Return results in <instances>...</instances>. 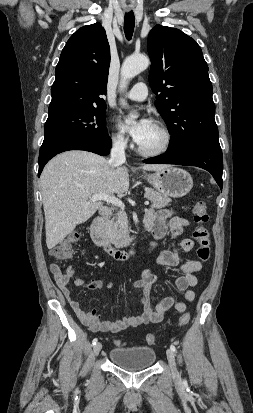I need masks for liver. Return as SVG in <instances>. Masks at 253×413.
Segmentation results:
<instances>
[{
    "label": "liver",
    "instance_id": "6515ba94",
    "mask_svg": "<svg viewBox=\"0 0 253 413\" xmlns=\"http://www.w3.org/2000/svg\"><path fill=\"white\" fill-rule=\"evenodd\" d=\"M166 164H144L146 171H159ZM45 214L46 244L54 248L77 225L86 222L102 207L96 194H123L129 188L128 169L111 167L92 152L71 150L51 159L40 176Z\"/></svg>",
    "mask_w": 253,
    "mask_h": 413
}]
</instances>
